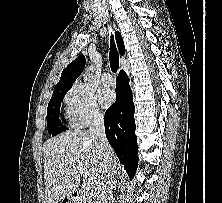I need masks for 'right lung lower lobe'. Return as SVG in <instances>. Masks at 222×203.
Here are the masks:
<instances>
[{
	"mask_svg": "<svg viewBox=\"0 0 222 203\" xmlns=\"http://www.w3.org/2000/svg\"><path fill=\"white\" fill-rule=\"evenodd\" d=\"M116 94V102L105 112V133L119 161L132 179L138 164L137 138L132 93L124 70H121L117 77Z\"/></svg>",
	"mask_w": 222,
	"mask_h": 203,
	"instance_id": "1",
	"label": "right lung lower lobe"
}]
</instances>
